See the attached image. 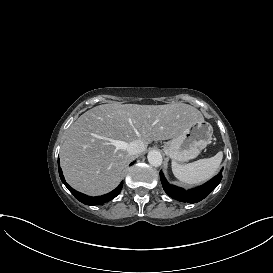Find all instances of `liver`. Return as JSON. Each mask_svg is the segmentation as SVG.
Segmentation results:
<instances>
[{
  "label": "liver",
  "mask_w": 273,
  "mask_h": 273,
  "mask_svg": "<svg viewBox=\"0 0 273 273\" xmlns=\"http://www.w3.org/2000/svg\"><path fill=\"white\" fill-rule=\"evenodd\" d=\"M203 120L195 107L167 105L103 104L82 114L69 128L61 151L66 181L89 195H101L120 182L130 157L127 146L179 136L191 123Z\"/></svg>",
  "instance_id": "1"
}]
</instances>
